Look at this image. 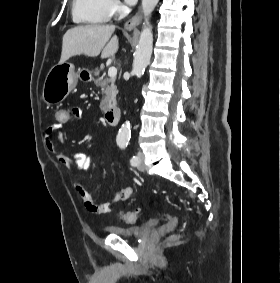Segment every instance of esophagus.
Returning a JSON list of instances; mask_svg holds the SVG:
<instances>
[{"label": "esophagus", "instance_id": "34e87169", "mask_svg": "<svg viewBox=\"0 0 280 283\" xmlns=\"http://www.w3.org/2000/svg\"><path fill=\"white\" fill-rule=\"evenodd\" d=\"M141 18H142V15H141V7H140L139 11L137 12V14L134 15L131 19H129L125 23L124 28L126 30L135 29L139 25V23L141 22Z\"/></svg>", "mask_w": 280, "mask_h": 283}]
</instances>
